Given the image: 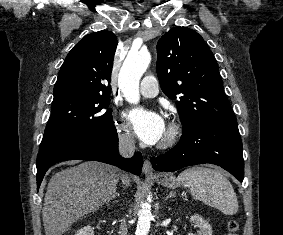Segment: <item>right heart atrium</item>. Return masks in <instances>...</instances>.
Wrapping results in <instances>:
<instances>
[{
  "label": "right heart atrium",
  "mask_w": 283,
  "mask_h": 235,
  "mask_svg": "<svg viewBox=\"0 0 283 235\" xmlns=\"http://www.w3.org/2000/svg\"><path fill=\"white\" fill-rule=\"evenodd\" d=\"M117 133L119 138L124 143H132L134 140V133L131 126L123 121L116 123Z\"/></svg>",
  "instance_id": "d8ad5b80"
}]
</instances>
